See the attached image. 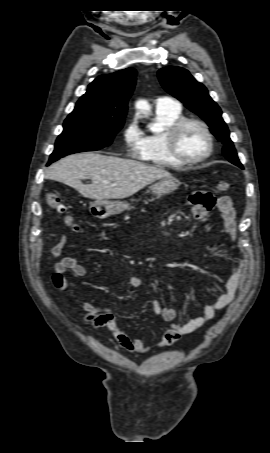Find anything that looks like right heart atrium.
<instances>
[{
  "label": "right heart atrium",
  "instance_id": "d8ad5b80",
  "mask_svg": "<svg viewBox=\"0 0 270 453\" xmlns=\"http://www.w3.org/2000/svg\"><path fill=\"white\" fill-rule=\"evenodd\" d=\"M143 136L137 120H130L123 131V141L129 156L138 155L143 144Z\"/></svg>",
  "mask_w": 270,
  "mask_h": 453
}]
</instances>
